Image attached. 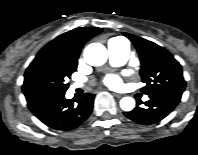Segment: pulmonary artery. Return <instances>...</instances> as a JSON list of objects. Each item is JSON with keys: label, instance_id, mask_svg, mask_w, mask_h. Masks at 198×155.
<instances>
[{"label": "pulmonary artery", "instance_id": "1", "mask_svg": "<svg viewBox=\"0 0 198 155\" xmlns=\"http://www.w3.org/2000/svg\"><path fill=\"white\" fill-rule=\"evenodd\" d=\"M108 52L113 65H123L129 57V42L122 37L112 38L108 42ZM81 86V84H74L72 85V89ZM144 100L146 101L148 98L144 97Z\"/></svg>", "mask_w": 198, "mask_h": 155}]
</instances>
